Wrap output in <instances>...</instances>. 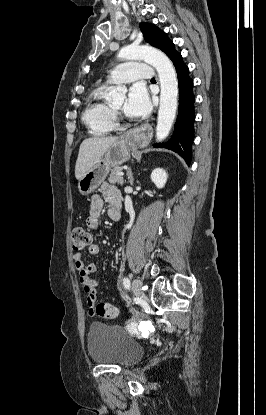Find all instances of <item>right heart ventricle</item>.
<instances>
[{
    "instance_id": "right-heart-ventricle-1",
    "label": "right heart ventricle",
    "mask_w": 266,
    "mask_h": 415,
    "mask_svg": "<svg viewBox=\"0 0 266 415\" xmlns=\"http://www.w3.org/2000/svg\"><path fill=\"white\" fill-rule=\"evenodd\" d=\"M107 86L95 88L89 95L83 112V122L96 135H106L116 127L113 107L105 100Z\"/></svg>"
}]
</instances>
